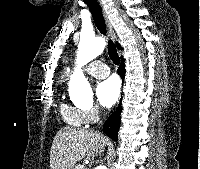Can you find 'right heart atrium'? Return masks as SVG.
I'll return each instance as SVG.
<instances>
[{"instance_id":"right-heart-atrium-1","label":"right heart atrium","mask_w":200,"mask_h":169,"mask_svg":"<svg viewBox=\"0 0 200 169\" xmlns=\"http://www.w3.org/2000/svg\"><path fill=\"white\" fill-rule=\"evenodd\" d=\"M81 112L84 118L85 125L97 122L102 115V112L97 105H91L85 109H82Z\"/></svg>"}]
</instances>
